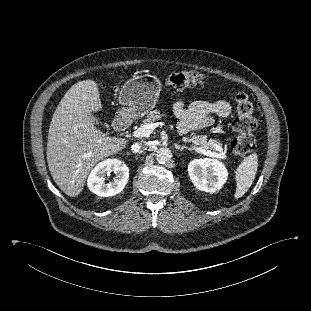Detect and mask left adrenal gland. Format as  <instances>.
<instances>
[{
	"label": "left adrenal gland",
	"mask_w": 311,
	"mask_h": 311,
	"mask_svg": "<svg viewBox=\"0 0 311 311\" xmlns=\"http://www.w3.org/2000/svg\"><path fill=\"white\" fill-rule=\"evenodd\" d=\"M175 148H176L178 151H180V152H182L184 149H187V150H189V151H192V148H190V147H188V146H180V145H178V144H175Z\"/></svg>",
	"instance_id": "a2214340"
}]
</instances>
